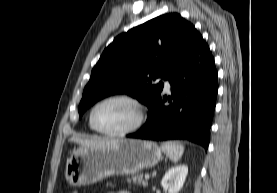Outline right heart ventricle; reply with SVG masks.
Here are the masks:
<instances>
[{
    "mask_svg": "<svg viewBox=\"0 0 277 193\" xmlns=\"http://www.w3.org/2000/svg\"><path fill=\"white\" fill-rule=\"evenodd\" d=\"M89 127H90L91 130H94V129L92 128V126L90 125V123H89Z\"/></svg>",
    "mask_w": 277,
    "mask_h": 193,
    "instance_id": "e07e8e85",
    "label": "right heart ventricle"
}]
</instances>
